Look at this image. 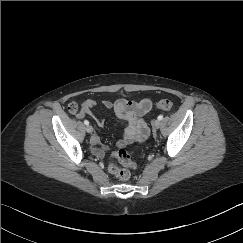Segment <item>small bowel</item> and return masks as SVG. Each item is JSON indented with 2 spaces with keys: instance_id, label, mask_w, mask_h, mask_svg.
I'll return each instance as SVG.
<instances>
[{
  "instance_id": "c3829d8e",
  "label": "small bowel",
  "mask_w": 243,
  "mask_h": 243,
  "mask_svg": "<svg viewBox=\"0 0 243 243\" xmlns=\"http://www.w3.org/2000/svg\"><path fill=\"white\" fill-rule=\"evenodd\" d=\"M96 106L95 101L86 100L80 111L77 113L79 118L86 114L92 115V110ZM103 106L115 113V115L124 122L120 139L116 146L118 149L124 150L132 143H141L147 136V127L143 121V116L151 111L153 102L148 98L141 100L117 99L115 101H104ZM99 126L104 125V120L96 119ZM92 153L102 158L106 152L110 150L108 146L102 145L97 135L91 138ZM110 170V168H109ZM111 171V170H110Z\"/></svg>"
}]
</instances>
